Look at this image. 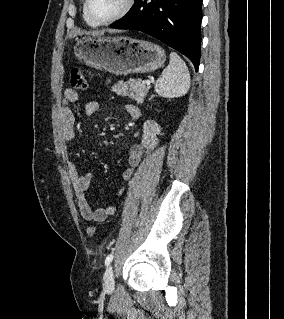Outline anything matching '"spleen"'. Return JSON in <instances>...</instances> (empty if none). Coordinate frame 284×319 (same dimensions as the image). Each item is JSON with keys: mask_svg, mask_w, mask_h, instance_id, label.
<instances>
[{"mask_svg": "<svg viewBox=\"0 0 284 319\" xmlns=\"http://www.w3.org/2000/svg\"><path fill=\"white\" fill-rule=\"evenodd\" d=\"M190 88V74L181 57L170 53L169 65L163 70L161 77L155 83V91L165 98H175L185 95Z\"/></svg>", "mask_w": 284, "mask_h": 319, "instance_id": "obj_1", "label": "spleen"}]
</instances>
